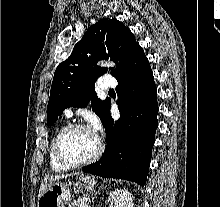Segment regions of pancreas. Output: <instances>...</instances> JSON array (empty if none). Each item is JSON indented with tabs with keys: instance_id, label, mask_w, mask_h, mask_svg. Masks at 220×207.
Segmentation results:
<instances>
[{
	"instance_id": "pancreas-1",
	"label": "pancreas",
	"mask_w": 220,
	"mask_h": 207,
	"mask_svg": "<svg viewBox=\"0 0 220 207\" xmlns=\"http://www.w3.org/2000/svg\"><path fill=\"white\" fill-rule=\"evenodd\" d=\"M69 207H89L85 198H80L74 202Z\"/></svg>"
}]
</instances>
